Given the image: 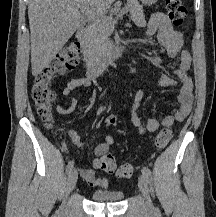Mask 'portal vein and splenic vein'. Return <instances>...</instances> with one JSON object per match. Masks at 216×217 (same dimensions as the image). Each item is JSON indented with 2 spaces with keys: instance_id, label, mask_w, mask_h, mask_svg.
<instances>
[{
  "instance_id": "18ae733b",
  "label": "portal vein and splenic vein",
  "mask_w": 216,
  "mask_h": 217,
  "mask_svg": "<svg viewBox=\"0 0 216 217\" xmlns=\"http://www.w3.org/2000/svg\"><path fill=\"white\" fill-rule=\"evenodd\" d=\"M80 11L81 13H83L86 17H88L89 19L93 20V21H100L104 18V16L102 14H100L98 11H93L91 10L89 7L82 5L80 7ZM128 12V7L125 6L122 10H120V12L118 13V17L124 15L125 13Z\"/></svg>"
}]
</instances>
